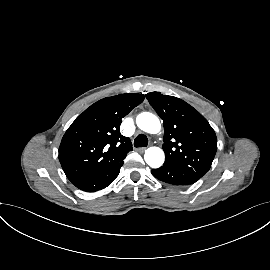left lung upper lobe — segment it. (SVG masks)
<instances>
[{"label": "left lung upper lobe", "mask_w": 270, "mask_h": 270, "mask_svg": "<svg viewBox=\"0 0 270 270\" xmlns=\"http://www.w3.org/2000/svg\"><path fill=\"white\" fill-rule=\"evenodd\" d=\"M150 105L163 120L164 165L183 169L201 178L210 169L217 150V138L208 121L185 101L162 95L146 94Z\"/></svg>", "instance_id": "5c2ea615"}]
</instances>
